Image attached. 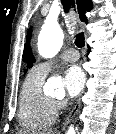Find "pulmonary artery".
<instances>
[{"mask_svg": "<svg viewBox=\"0 0 116 134\" xmlns=\"http://www.w3.org/2000/svg\"><path fill=\"white\" fill-rule=\"evenodd\" d=\"M61 59L66 62H75L79 59V54L75 49H67L60 55ZM52 67V61H43L35 66V68L44 74H47Z\"/></svg>", "mask_w": 116, "mask_h": 134, "instance_id": "1", "label": "pulmonary artery"}]
</instances>
